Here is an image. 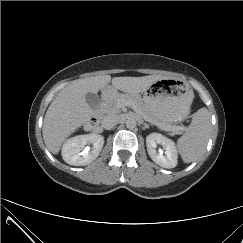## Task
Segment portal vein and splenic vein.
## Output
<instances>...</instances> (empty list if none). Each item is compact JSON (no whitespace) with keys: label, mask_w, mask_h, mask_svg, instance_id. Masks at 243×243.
I'll use <instances>...</instances> for the list:
<instances>
[{"label":"portal vein and splenic vein","mask_w":243,"mask_h":243,"mask_svg":"<svg viewBox=\"0 0 243 243\" xmlns=\"http://www.w3.org/2000/svg\"><path fill=\"white\" fill-rule=\"evenodd\" d=\"M145 120L148 121V122L151 123V124H154V125L160 127V125H158L157 123H155L154 121H152V120H150V119L145 118ZM160 128H161V127H160Z\"/></svg>","instance_id":"obj_1"}]
</instances>
